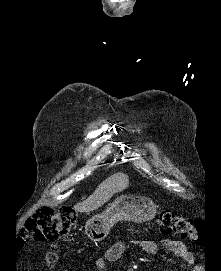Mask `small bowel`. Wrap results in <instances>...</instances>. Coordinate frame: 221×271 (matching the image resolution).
Segmentation results:
<instances>
[{"label":"small bowel","mask_w":221,"mask_h":271,"mask_svg":"<svg viewBox=\"0 0 221 271\" xmlns=\"http://www.w3.org/2000/svg\"><path fill=\"white\" fill-rule=\"evenodd\" d=\"M131 243L139 246L147 254H156L158 251V244L153 240H131ZM162 248L168 250L172 254L181 258L186 264L193 263L192 253L179 240L165 238L160 241ZM126 249V242L118 241L109 247L101 257L96 260V268L98 271H105L107 263L119 260ZM130 271V270H129Z\"/></svg>","instance_id":"small-bowel-1"}]
</instances>
